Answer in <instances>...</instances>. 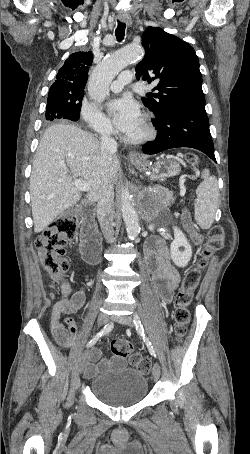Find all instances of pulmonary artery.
<instances>
[{
  "instance_id": "e3ab8cb5",
  "label": "pulmonary artery",
  "mask_w": 250,
  "mask_h": 454,
  "mask_svg": "<svg viewBox=\"0 0 250 454\" xmlns=\"http://www.w3.org/2000/svg\"><path fill=\"white\" fill-rule=\"evenodd\" d=\"M134 78V72L132 70L123 71L116 80L110 84V90L113 92H119L123 87L130 83Z\"/></svg>"
}]
</instances>
